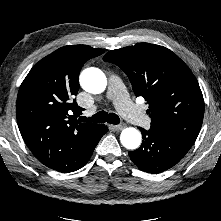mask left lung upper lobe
I'll return each instance as SVG.
<instances>
[{
	"mask_svg": "<svg viewBox=\"0 0 221 221\" xmlns=\"http://www.w3.org/2000/svg\"><path fill=\"white\" fill-rule=\"evenodd\" d=\"M103 60L119 66L135 95L149 102L151 129L195 142L203 121V95L192 71L176 54L140 43L112 50Z\"/></svg>",
	"mask_w": 221,
	"mask_h": 221,
	"instance_id": "left-lung-upper-lobe-1",
	"label": "left lung upper lobe"
}]
</instances>
